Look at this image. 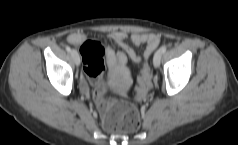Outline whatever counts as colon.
<instances>
[{
	"mask_svg": "<svg viewBox=\"0 0 238 145\" xmlns=\"http://www.w3.org/2000/svg\"><path fill=\"white\" fill-rule=\"evenodd\" d=\"M84 71L95 86V99L99 106L104 127L109 131L132 132L140 126L137 108L127 102L111 99L101 85L104 69V46L95 40H85L79 45ZM150 86V70L146 64L139 77L138 96H143Z\"/></svg>",
	"mask_w": 238,
	"mask_h": 145,
	"instance_id": "5ec220e1",
	"label": "colon"
}]
</instances>
